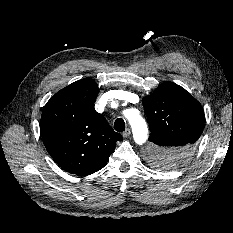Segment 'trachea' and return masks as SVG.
<instances>
[{
  "instance_id": "3493384b",
  "label": "trachea",
  "mask_w": 233,
  "mask_h": 233,
  "mask_svg": "<svg viewBox=\"0 0 233 233\" xmlns=\"http://www.w3.org/2000/svg\"><path fill=\"white\" fill-rule=\"evenodd\" d=\"M114 129L118 132L125 131V122L122 118H118L115 120Z\"/></svg>"
}]
</instances>
